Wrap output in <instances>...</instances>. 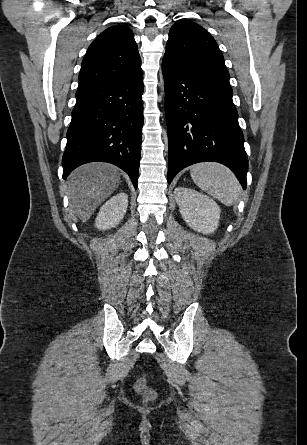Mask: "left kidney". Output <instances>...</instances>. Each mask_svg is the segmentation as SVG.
Instances as JSON below:
<instances>
[{"instance_id":"left-kidney-1","label":"left kidney","mask_w":307,"mask_h":445,"mask_svg":"<svg viewBox=\"0 0 307 445\" xmlns=\"http://www.w3.org/2000/svg\"><path fill=\"white\" fill-rule=\"evenodd\" d=\"M174 196L188 227L203 235L218 229L220 206L213 198L185 186L174 188Z\"/></svg>"}]
</instances>
